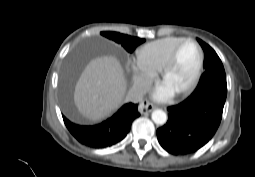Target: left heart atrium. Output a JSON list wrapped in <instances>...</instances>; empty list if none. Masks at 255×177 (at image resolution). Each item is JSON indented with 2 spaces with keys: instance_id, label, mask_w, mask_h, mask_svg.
<instances>
[{
  "instance_id": "1",
  "label": "left heart atrium",
  "mask_w": 255,
  "mask_h": 177,
  "mask_svg": "<svg viewBox=\"0 0 255 177\" xmlns=\"http://www.w3.org/2000/svg\"><path fill=\"white\" fill-rule=\"evenodd\" d=\"M174 92L175 91L170 86L163 83L155 89L153 97L156 100L164 101L169 99L174 94Z\"/></svg>"
}]
</instances>
